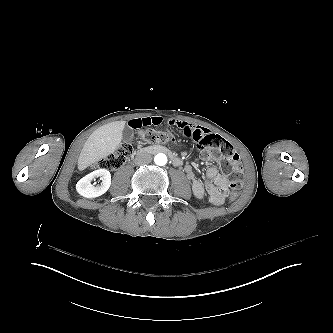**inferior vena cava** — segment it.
<instances>
[{
    "mask_svg": "<svg viewBox=\"0 0 333 333\" xmlns=\"http://www.w3.org/2000/svg\"><path fill=\"white\" fill-rule=\"evenodd\" d=\"M151 161H152L151 154H149L144 150H140L134 159V163L138 166L149 164Z\"/></svg>",
    "mask_w": 333,
    "mask_h": 333,
    "instance_id": "obj_1",
    "label": "inferior vena cava"
}]
</instances>
